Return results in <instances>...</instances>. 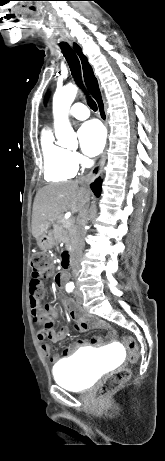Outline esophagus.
Instances as JSON below:
<instances>
[{
  "label": "esophagus",
  "instance_id": "esophagus-1",
  "mask_svg": "<svg viewBox=\"0 0 165 461\" xmlns=\"http://www.w3.org/2000/svg\"><path fill=\"white\" fill-rule=\"evenodd\" d=\"M72 46L80 53L81 66H82V71H83V70H85V58L86 57L81 54L80 47L75 41L72 42ZM83 76H84V71H83ZM84 81H85V78H84ZM100 90H101V88H100ZM101 98H102V103L97 102L98 111H99V115H100L101 120L103 121V123L105 125H107V114H106V108H105V104H104L102 90H101ZM107 148H108V145H106L98 165L95 168H93L91 170V172L89 173L88 178H87L88 181L94 180V179H96L97 177L100 176V174L102 172V169H103V166H104L105 161H106Z\"/></svg>",
  "mask_w": 165,
  "mask_h": 461
}]
</instances>
